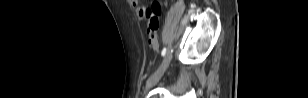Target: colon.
I'll return each instance as SVG.
<instances>
[{
  "label": "colon",
  "mask_w": 308,
  "mask_h": 98,
  "mask_svg": "<svg viewBox=\"0 0 308 98\" xmlns=\"http://www.w3.org/2000/svg\"><path fill=\"white\" fill-rule=\"evenodd\" d=\"M162 7L160 2L154 1L150 6L143 7V9L139 10L140 16H146L149 20L150 24H148V42L150 46L157 50L159 47L158 37H157V30L159 29L158 26V17L161 13Z\"/></svg>",
  "instance_id": "1"
}]
</instances>
